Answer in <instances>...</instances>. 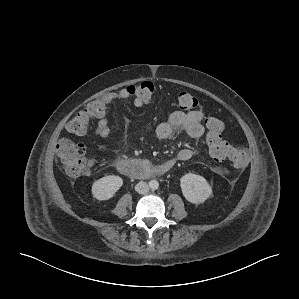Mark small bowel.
<instances>
[{"mask_svg": "<svg viewBox=\"0 0 299 299\" xmlns=\"http://www.w3.org/2000/svg\"><path fill=\"white\" fill-rule=\"evenodd\" d=\"M108 104L122 103L131 97L127 88H123L119 91L107 93L105 96ZM143 102L134 98L133 105L135 107L143 106ZM205 118L204 113L201 110H195L190 112L174 111L170 114L169 118L160 123L156 129V135L160 139H169L177 131H184L188 136L192 138H200L205 133V128L202 124ZM96 136L108 140L111 134L110 120L105 115L99 118L97 127L95 129ZM193 156V150L190 148H182L178 151L176 158L168 159L158 166L166 173L169 171L177 161H187Z\"/></svg>", "mask_w": 299, "mask_h": 299, "instance_id": "small-bowel-1", "label": "small bowel"}]
</instances>
